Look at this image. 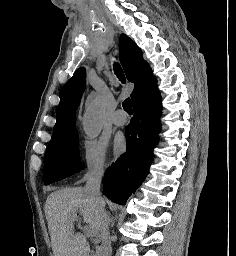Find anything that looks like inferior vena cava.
<instances>
[{"label": "inferior vena cava", "mask_w": 236, "mask_h": 256, "mask_svg": "<svg viewBox=\"0 0 236 256\" xmlns=\"http://www.w3.org/2000/svg\"><path fill=\"white\" fill-rule=\"evenodd\" d=\"M103 166H93L88 172L87 182L83 188L85 194L89 196L90 200H94L99 208L104 210V200L100 194V184L103 176ZM102 238V256H112V248L110 242V232L108 228V220L106 218L103 228L100 230Z\"/></svg>", "instance_id": "1"}]
</instances>
